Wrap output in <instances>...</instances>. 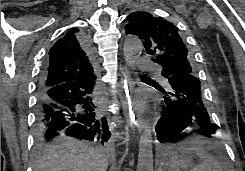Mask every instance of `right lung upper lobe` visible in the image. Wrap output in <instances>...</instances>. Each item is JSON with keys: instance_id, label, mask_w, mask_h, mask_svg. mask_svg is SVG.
<instances>
[{"instance_id": "obj_1", "label": "right lung upper lobe", "mask_w": 245, "mask_h": 171, "mask_svg": "<svg viewBox=\"0 0 245 171\" xmlns=\"http://www.w3.org/2000/svg\"><path fill=\"white\" fill-rule=\"evenodd\" d=\"M94 75L92 59L83 47L79 29L71 28L49 50L39 84L51 87Z\"/></svg>"}]
</instances>
